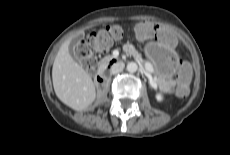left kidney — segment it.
Masks as SVG:
<instances>
[{
	"label": "left kidney",
	"instance_id": "obj_1",
	"mask_svg": "<svg viewBox=\"0 0 230 155\" xmlns=\"http://www.w3.org/2000/svg\"><path fill=\"white\" fill-rule=\"evenodd\" d=\"M156 98H157L158 101H161L163 99L161 94H157Z\"/></svg>",
	"mask_w": 230,
	"mask_h": 155
}]
</instances>
